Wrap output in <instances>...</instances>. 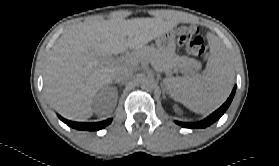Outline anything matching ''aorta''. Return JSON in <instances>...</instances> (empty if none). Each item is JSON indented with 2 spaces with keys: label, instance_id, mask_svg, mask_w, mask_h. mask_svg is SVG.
Here are the masks:
<instances>
[{
  "label": "aorta",
  "instance_id": "obj_1",
  "mask_svg": "<svg viewBox=\"0 0 279 166\" xmlns=\"http://www.w3.org/2000/svg\"><path fill=\"white\" fill-rule=\"evenodd\" d=\"M153 86H154V81H153V79L145 78V79H143L142 82H141V87H142L143 89L150 90V89L153 88Z\"/></svg>",
  "mask_w": 279,
  "mask_h": 166
}]
</instances>
